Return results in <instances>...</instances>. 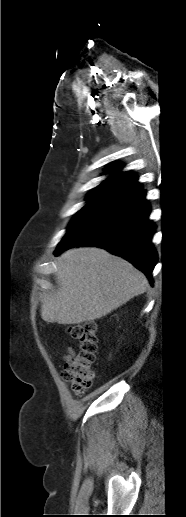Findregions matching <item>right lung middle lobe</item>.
<instances>
[{"instance_id": "right-lung-middle-lobe-1", "label": "right lung middle lobe", "mask_w": 186, "mask_h": 517, "mask_svg": "<svg viewBox=\"0 0 186 517\" xmlns=\"http://www.w3.org/2000/svg\"><path fill=\"white\" fill-rule=\"evenodd\" d=\"M87 201L88 203L86 204V206H84L71 221L68 228V232L61 242L71 237L75 232L80 230L82 227H84L85 225L99 217L101 214H103L105 211H107L111 206L116 204L112 201L104 200L87 199Z\"/></svg>"}]
</instances>
